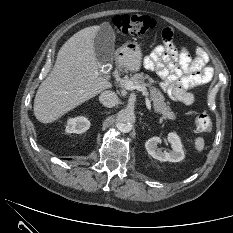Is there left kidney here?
<instances>
[{"mask_svg":"<svg viewBox=\"0 0 233 233\" xmlns=\"http://www.w3.org/2000/svg\"><path fill=\"white\" fill-rule=\"evenodd\" d=\"M166 141L171 145L172 150L170 152L162 151L160 148H158L157 145L162 142L161 138L152 137L148 139L145 143V148L148 154L161 162L182 161L185 157V154L180 137L176 133L171 132L168 134Z\"/></svg>","mask_w":233,"mask_h":233,"instance_id":"obj_1","label":"left kidney"}]
</instances>
